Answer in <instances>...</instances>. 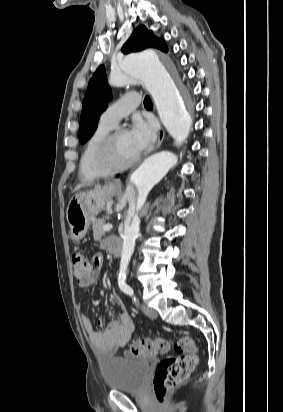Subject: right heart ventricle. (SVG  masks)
Here are the masks:
<instances>
[{"instance_id": "1", "label": "right heart ventricle", "mask_w": 283, "mask_h": 412, "mask_svg": "<svg viewBox=\"0 0 283 412\" xmlns=\"http://www.w3.org/2000/svg\"><path fill=\"white\" fill-rule=\"evenodd\" d=\"M112 129L113 127L99 122L86 140L79 161V176L81 180H91L107 175L97 165V154L104 139Z\"/></svg>"}]
</instances>
